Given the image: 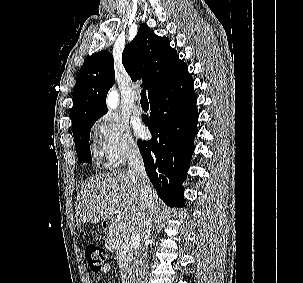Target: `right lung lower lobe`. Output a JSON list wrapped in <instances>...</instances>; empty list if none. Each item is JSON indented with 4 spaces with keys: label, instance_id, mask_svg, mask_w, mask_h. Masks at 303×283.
<instances>
[{
    "label": "right lung lower lobe",
    "instance_id": "obj_1",
    "mask_svg": "<svg viewBox=\"0 0 303 283\" xmlns=\"http://www.w3.org/2000/svg\"><path fill=\"white\" fill-rule=\"evenodd\" d=\"M145 120L152 139L138 141L146 173L168 205L184 206L181 186L187 177L199 117L194 82L189 73L149 99Z\"/></svg>",
    "mask_w": 303,
    "mask_h": 283
}]
</instances>
